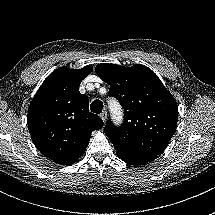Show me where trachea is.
<instances>
[{
	"instance_id": "3493384b",
	"label": "trachea",
	"mask_w": 215,
	"mask_h": 215,
	"mask_svg": "<svg viewBox=\"0 0 215 215\" xmlns=\"http://www.w3.org/2000/svg\"><path fill=\"white\" fill-rule=\"evenodd\" d=\"M90 109L93 113L100 114L103 110V103L101 100H94L91 103Z\"/></svg>"
}]
</instances>
